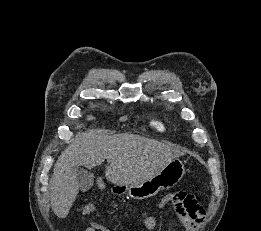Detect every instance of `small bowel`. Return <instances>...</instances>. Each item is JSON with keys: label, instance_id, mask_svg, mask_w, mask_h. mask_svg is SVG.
<instances>
[{"label": "small bowel", "instance_id": "small-bowel-1", "mask_svg": "<svg viewBox=\"0 0 261 231\" xmlns=\"http://www.w3.org/2000/svg\"><path fill=\"white\" fill-rule=\"evenodd\" d=\"M97 208L98 205L96 201L91 200L85 204L82 213L84 216H89L94 212H96ZM144 225L147 230L153 231L158 226V220L155 216L148 215L144 220ZM183 225L185 231H200L202 229V223H197L194 221H183ZM84 231H112V230L104 224L98 222H91L89 226L85 228Z\"/></svg>", "mask_w": 261, "mask_h": 231}]
</instances>
